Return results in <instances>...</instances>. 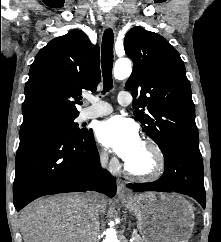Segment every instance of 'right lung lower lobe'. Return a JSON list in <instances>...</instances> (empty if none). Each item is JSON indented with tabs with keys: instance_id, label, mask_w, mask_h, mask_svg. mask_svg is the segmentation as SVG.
<instances>
[{
	"instance_id": "obj_1",
	"label": "right lung lower lobe",
	"mask_w": 221,
	"mask_h": 242,
	"mask_svg": "<svg viewBox=\"0 0 221 242\" xmlns=\"http://www.w3.org/2000/svg\"><path fill=\"white\" fill-rule=\"evenodd\" d=\"M13 184L19 211L50 194L95 190L113 197L116 180L102 170L92 130L71 135L52 127L20 130Z\"/></svg>"
}]
</instances>
